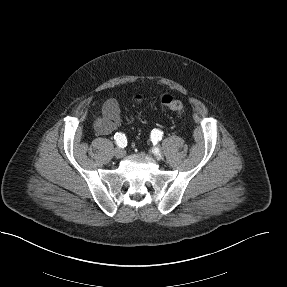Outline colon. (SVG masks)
Returning a JSON list of instances; mask_svg holds the SVG:
<instances>
[{"label": "colon", "mask_w": 287, "mask_h": 287, "mask_svg": "<svg viewBox=\"0 0 287 287\" xmlns=\"http://www.w3.org/2000/svg\"><path fill=\"white\" fill-rule=\"evenodd\" d=\"M159 100L166 109L175 114H182L184 111L183 102L175 96L166 94L161 96Z\"/></svg>", "instance_id": "5ec220e1"}]
</instances>
